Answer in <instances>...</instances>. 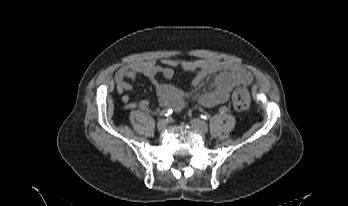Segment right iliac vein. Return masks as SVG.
Returning <instances> with one entry per match:
<instances>
[{
  "label": "right iliac vein",
  "instance_id": "63e3f726",
  "mask_svg": "<svg viewBox=\"0 0 348 206\" xmlns=\"http://www.w3.org/2000/svg\"><path fill=\"white\" fill-rule=\"evenodd\" d=\"M167 127V120L161 119L157 122V129L164 130Z\"/></svg>",
  "mask_w": 348,
  "mask_h": 206
}]
</instances>
